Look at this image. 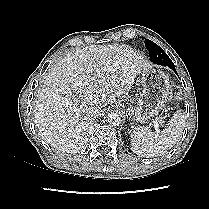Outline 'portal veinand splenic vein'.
<instances>
[{
	"instance_id": "18ae733b",
	"label": "portal vein and splenic vein",
	"mask_w": 209,
	"mask_h": 209,
	"mask_svg": "<svg viewBox=\"0 0 209 209\" xmlns=\"http://www.w3.org/2000/svg\"><path fill=\"white\" fill-rule=\"evenodd\" d=\"M159 124L164 125L165 122H164L163 120H157V119H155V120L153 121V126H154V128H155V130H156L157 133L160 132Z\"/></svg>"
}]
</instances>
